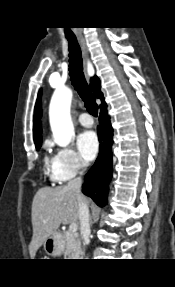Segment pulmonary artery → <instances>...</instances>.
Wrapping results in <instances>:
<instances>
[{
	"label": "pulmonary artery",
	"mask_w": 175,
	"mask_h": 287,
	"mask_svg": "<svg viewBox=\"0 0 175 287\" xmlns=\"http://www.w3.org/2000/svg\"><path fill=\"white\" fill-rule=\"evenodd\" d=\"M78 121L81 125L85 126V127H90L93 125L94 121L93 118L87 114V113H83L78 117Z\"/></svg>",
	"instance_id": "1"
}]
</instances>
